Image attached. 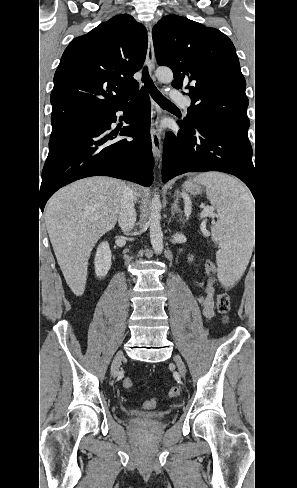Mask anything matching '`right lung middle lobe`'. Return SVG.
Listing matches in <instances>:
<instances>
[{"label": "right lung middle lobe", "mask_w": 297, "mask_h": 488, "mask_svg": "<svg viewBox=\"0 0 297 488\" xmlns=\"http://www.w3.org/2000/svg\"><path fill=\"white\" fill-rule=\"evenodd\" d=\"M64 132H65V131H64ZM62 133H63V132H52V134H51V136H50V141H51L52 139H54L55 137H57V136L61 135Z\"/></svg>", "instance_id": "obj_1"}]
</instances>
